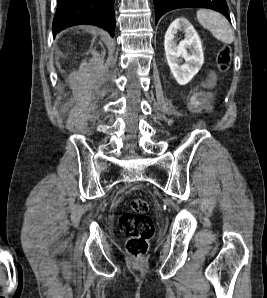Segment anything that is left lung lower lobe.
<instances>
[{
	"label": "left lung lower lobe",
	"instance_id": "0a47b994",
	"mask_svg": "<svg viewBox=\"0 0 267 298\" xmlns=\"http://www.w3.org/2000/svg\"><path fill=\"white\" fill-rule=\"evenodd\" d=\"M155 22L166 12L177 8H210L222 13L230 21L226 0H154Z\"/></svg>",
	"mask_w": 267,
	"mask_h": 298
}]
</instances>
